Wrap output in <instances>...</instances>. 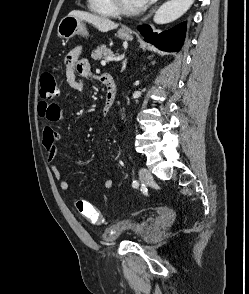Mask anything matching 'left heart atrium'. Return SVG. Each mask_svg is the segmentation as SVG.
<instances>
[{"label":"left heart atrium","instance_id":"1","mask_svg":"<svg viewBox=\"0 0 249 294\" xmlns=\"http://www.w3.org/2000/svg\"><path fill=\"white\" fill-rule=\"evenodd\" d=\"M135 1H136L137 5L139 7H141V6L145 5L146 3H148L150 0H135Z\"/></svg>","mask_w":249,"mask_h":294}]
</instances>
